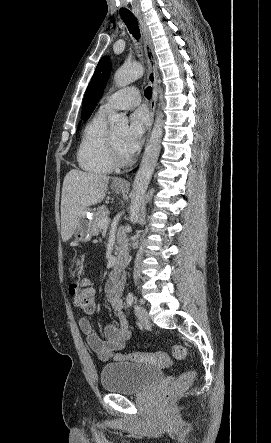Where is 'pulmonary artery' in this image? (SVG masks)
Wrapping results in <instances>:
<instances>
[{
	"mask_svg": "<svg viewBox=\"0 0 271 443\" xmlns=\"http://www.w3.org/2000/svg\"><path fill=\"white\" fill-rule=\"evenodd\" d=\"M140 103L141 95L139 90L131 86L107 96L99 107V111L107 113L115 109H129L138 106Z\"/></svg>",
	"mask_w": 271,
	"mask_h": 443,
	"instance_id": "1",
	"label": "pulmonary artery"
}]
</instances>
